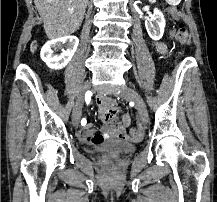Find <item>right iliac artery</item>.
Listing matches in <instances>:
<instances>
[{"mask_svg":"<svg viewBox=\"0 0 217 202\" xmlns=\"http://www.w3.org/2000/svg\"><path fill=\"white\" fill-rule=\"evenodd\" d=\"M85 102H86V104L89 106L91 103L90 102H92V97H91V94L87 91L86 92V94H85ZM87 123V121H86V119L85 118H83L82 120H81V125H85Z\"/></svg>","mask_w":217,"mask_h":202,"instance_id":"1","label":"right iliac artery"}]
</instances>
